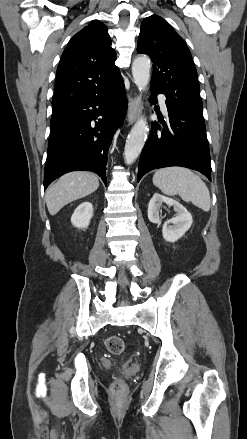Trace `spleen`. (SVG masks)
<instances>
[{"label":"spleen","mask_w":247,"mask_h":439,"mask_svg":"<svg viewBox=\"0 0 247 439\" xmlns=\"http://www.w3.org/2000/svg\"><path fill=\"white\" fill-rule=\"evenodd\" d=\"M153 184L166 195H179L185 202H192L204 212L210 210V193L206 184L187 168L159 169L153 176Z\"/></svg>","instance_id":"3e777b00"}]
</instances>
